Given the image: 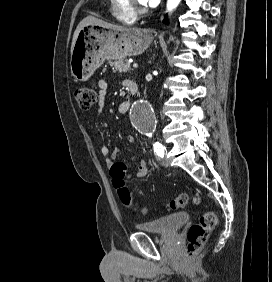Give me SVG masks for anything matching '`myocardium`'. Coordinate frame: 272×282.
Wrapping results in <instances>:
<instances>
[{"mask_svg": "<svg viewBox=\"0 0 272 282\" xmlns=\"http://www.w3.org/2000/svg\"><path fill=\"white\" fill-rule=\"evenodd\" d=\"M127 8L135 16L147 13L148 9L138 4L137 0H127Z\"/></svg>", "mask_w": 272, "mask_h": 282, "instance_id": "1", "label": "myocardium"}]
</instances>
